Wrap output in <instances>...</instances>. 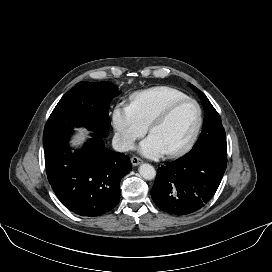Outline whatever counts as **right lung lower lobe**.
<instances>
[{"label":"right lung lower lobe","instance_id":"obj_1","mask_svg":"<svg viewBox=\"0 0 272 272\" xmlns=\"http://www.w3.org/2000/svg\"><path fill=\"white\" fill-rule=\"evenodd\" d=\"M66 133L45 146L48 181L64 206L81 216H98L120 200V180L131 170L123 153L105 147L104 136L92 134L82 149L72 153Z\"/></svg>","mask_w":272,"mask_h":272}]
</instances>
